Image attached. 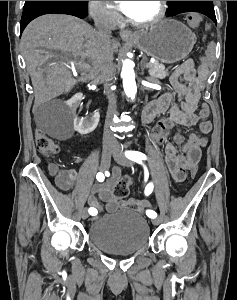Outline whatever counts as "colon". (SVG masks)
<instances>
[{
    "label": "colon",
    "instance_id": "5ec220e1",
    "mask_svg": "<svg viewBox=\"0 0 237 300\" xmlns=\"http://www.w3.org/2000/svg\"><path fill=\"white\" fill-rule=\"evenodd\" d=\"M186 20L191 27H199L204 24L203 17L196 12H191L187 15ZM206 29H209V25H206ZM216 53V47L214 43H211L208 47V50L204 56L200 58V63L204 67H210L213 64ZM36 147L38 151L43 155H52L56 154L59 151L58 144L48 137L43 131L39 130L36 133ZM197 174V166L194 165L190 169V175L194 178ZM131 179L125 177L121 179L117 185L114 187V197L116 199H123L127 197L129 193V185Z\"/></svg>",
    "mask_w": 237,
    "mask_h": 300
}]
</instances>
